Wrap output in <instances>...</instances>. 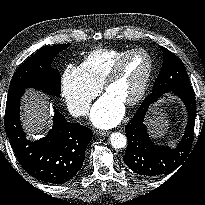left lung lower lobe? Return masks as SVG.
<instances>
[{
  "label": "left lung lower lobe",
  "instance_id": "left-lung-lower-lobe-1",
  "mask_svg": "<svg viewBox=\"0 0 205 205\" xmlns=\"http://www.w3.org/2000/svg\"><path fill=\"white\" fill-rule=\"evenodd\" d=\"M182 99L188 112V125L185 134L176 148L155 145L147 134L143 121L149 106L153 103L146 98L138 111L126 125L128 146L123 160L135 173L155 177L174 171L186 158L193 139L196 115L195 93L192 87L172 91Z\"/></svg>",
  "mask_w": 205,
  "mask_h": 205
}]
</instances>
